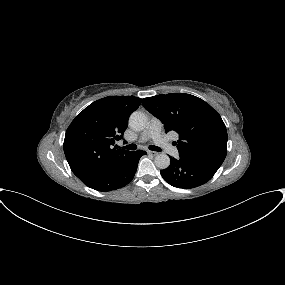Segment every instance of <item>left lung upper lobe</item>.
<instances>
[{
    "mask_svg": "<svg viewBox=\"0 0 285 285\" xmlns=\"http://www.w3.org/2000/svg\"><path fill=\"white\" fill-rule=\"evenodd\" d=\"M147 111L161 120L166 133L179 134V156L222 164L227 131L221 116L204 100L190 94H161L144 98Z\"/></svg>",
    "mask_w": 285,
    "mask_h": 285,
    "instance_id": "5c2ea615",
    "label": "left lung upper lobe"
}]
</instances>
